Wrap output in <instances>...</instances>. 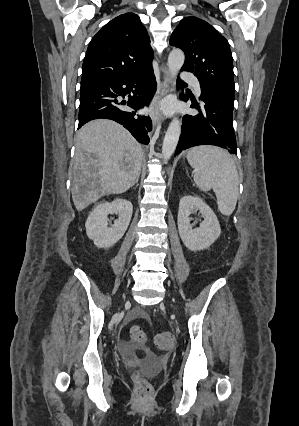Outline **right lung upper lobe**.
Here are the masks:
<instances>
[{"mask_svg": "<svg viewBox=\"0 0 299 426\" xmlns=\"http://www.w3.org/2000/svg\"><path fill=\"white\" fill-rule=\"evenodd\" d=\"M153 50L138 15L126 13L107 23L92 39L81 83L110 81L152 67Z\"/></svg>", "mask_w": 299, "mask_h": 426, "instance_id": "1", "label": "right lung upper lobe"}]
</instances>
